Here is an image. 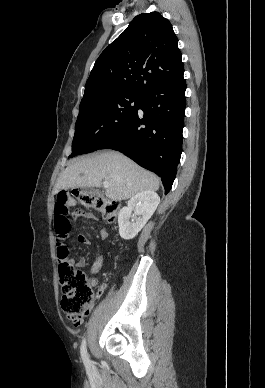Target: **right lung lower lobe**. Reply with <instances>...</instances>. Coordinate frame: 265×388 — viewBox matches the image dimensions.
Returning <instances> with one entry per match:
<instances>
[{"mask_svg":"<svg viewBox=\"0 0 265 388\" xmlns=\"http://www.w3.org/2000/svg\"><path fill=\"white\" fill-rule=\"evenodd\" d=\"M185 90L183 75L147 90L138 109L100 147L118 150L156 173L165 194L172 187L182 152Z\"/></svg>","mask_w":265,"mask_h":388,"instance_id":"1","label":"right lung lower lobe"}]
</instances>
